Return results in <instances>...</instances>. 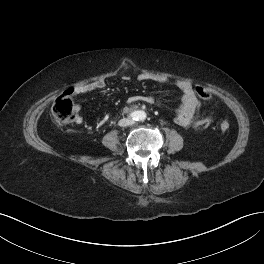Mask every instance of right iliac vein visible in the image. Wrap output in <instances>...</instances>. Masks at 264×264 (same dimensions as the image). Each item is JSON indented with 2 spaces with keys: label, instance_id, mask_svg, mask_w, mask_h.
<instances>
[{
  "label": "right iliac vein",
  "instance_id": "1",
  "mask_svg": "<svg viewBox=\"0 0 264 264\" xmlns=\"http://www.w3.org/2000/svg\"><path fill=\"white\" fill-rule=\"evenodd\" d=\"M124 123V121H121V124H123Z\"/></svg>",
  "mask_w": 264,
  "mask_h": 264
}]
</instances>
